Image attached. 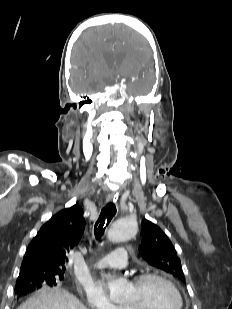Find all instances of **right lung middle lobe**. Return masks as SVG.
<instances>
[{"mask_svg":"<svg viewBox=\"0 0 232 309\" xmlns=\"http://www.w3.org/2000/svg\"><path fill=\"white\" fill-rule=\"evenodd\" d=\"M63 270L20 271L16 287L25 284L56 286L63 280Z\"/></svg>","mask_w":232,"mask_h":309,"instance_id":"right-lung-middle-lobe-1","label":"right lung middle lobe"}]
</instances>
